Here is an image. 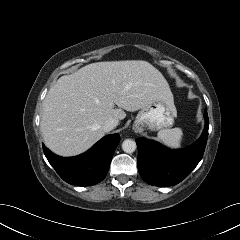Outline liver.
<instances>
[{
    "label": "liver",
    "mask_w": 240,
    "mask_h": 240,
    "mask_svg": "<svg viewBox=\"0 0 240 240\" xmlns=\"http://www.w3.org/2000/svg\"><path fill=\"white\" fill-rule=\"evenodd\" d=\"M160 99L173 101V95L164 76L149 62L91 63L60 77L50 88L40 130L52 152L75 156L104 136L102 126L108 119L119 122L126 117L124 110L134 112Z\"/></svg>",
    "instance_id": "obj_1"
}]
</instances>
